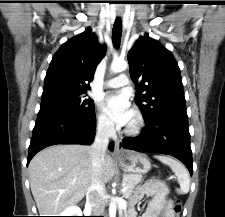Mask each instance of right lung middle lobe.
Wrapping results in <instances>:
<instances>
[{
  "label": "right lung middle lobe",
  "instance_id": "1",
  "mask_svg": "<svg viewBox=\"0 0 225 217\" xmlns=\"http://www.w3.org/2000/svg\"><path fill=\"white\" fill-rule=\"evenodd\" d=\"M85 93L54 91L42 94L40 110H57L75 115H85L94 111V102L84 99Z\"/></svg>",
  "mask_w": 225,
  "mask_h": 217
}]
</instances>
